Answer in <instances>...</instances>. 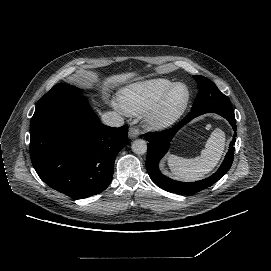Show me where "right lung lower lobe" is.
I'll return each instance as SVG.
<instances>
[{
	"label": "right lung lower lobe",
	"mask_w": 271,
	"mask_h": 271,
	"mask_svg": "<svg viewBox=\"0 0 271 271\" xmlns=\"http://www.w3.org/2000/svg\"><path fill=\"white\" fill-rule=\"evenodd\" d=\"M30 135V157L39 177L51 188L82 199L111 183L128 127L101 125L87 99L76 96L37 107Z\"/></svg>",
	"instance_id": "obj_1"
}]
</instances>
